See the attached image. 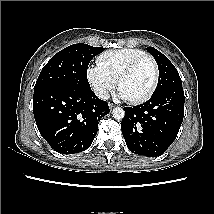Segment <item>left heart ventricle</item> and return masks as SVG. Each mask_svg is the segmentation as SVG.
<instances>
[{"label": "left heart ventricle", "mask_w": 214, "mask_h": 214, "mask_svg": "<svg viewBox=\"0 0 214 214\" xmlns=\"http://www.w3.org/2000/svg\"><path fill=\"white\" fill-rule=\"evenodd\" d=\"M152 82L153 68L145 61L121 81L120 90L128 99H135L144 95Z\"/></svg>", "instance_id": "left-heart-ventricle-1"}]
</instances>
